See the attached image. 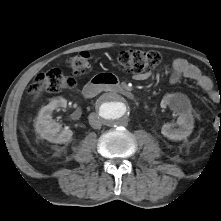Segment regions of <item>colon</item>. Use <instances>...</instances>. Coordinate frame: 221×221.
<instances>
[{
  "instance_id": "1",
  "label": "colon",
  "mask_w": 221,
  "mask_h": 221,
  "mask_svg": "<svg viewBox=\"0 0 221 221\" xmlns=\"http://www.w3.org/2000/svg\"><path fill=\"white\" fill-rule=\"evenodd\" d=\"M162 60V55L157 51L126 50L118 55V63L122 69L135 74L150 73L161 64ZM90 61L89 52H80L66 62L72 75H66L59 69H52L38 75L29 85L27 92L34 94L41 90L60 92L71 89L76 84L73 76L84 75L90 67Z\"/></svg>"
}]
</instances>
